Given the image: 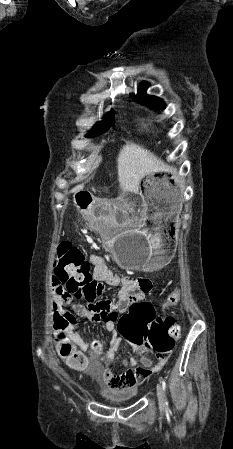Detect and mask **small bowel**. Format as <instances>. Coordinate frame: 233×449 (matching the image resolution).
<instances>
[{"label":"small bowel","instance_id":"small-bowel-1","mask_svg":"<svg viewBox=\"0 0 233 449\" xmlns=\"http://www.w3.org/2000/svg\"><path fill=\"white\" fill-rule=\"evenodd\" d=\"M90 261L93 264L91 278L99 282L95 286L92 296L98 300L88 303L87 308L75 304L73 296L66 293L64 277L59 271H56L51 277L55 307L59 308L61 313L70 309L75 317L105 324L112 337L110 348L106 353L91 349L88 343L77 332H74L75 321L67 327L68 341L72 344L73 351L82 356L84 366L100 374L108 386L117 390L131 389L144 383L151 374L159 372L166 364L169 354H156V362H153L145 355L148 352L147 349H136L135 343H131L134 351L140 356V365L135 357H129L123 360L124 370L122 372L117 373L112 369L105 368L103 364L113 359L120 343L126 338H120L114 327L113 323L118 317H106L104 314H113L114 308L117 312L124 314V308L130 307L132 301H143L146 296L151 294V291L154 290V283L147 274H119L112 271L108 268L106 259L99 254H91ZM106 284L121 288L116 299H101L108 296L107 289L104 287Z\"/></svg>","mask_w":233,"mask_h":449}]
</instances>
